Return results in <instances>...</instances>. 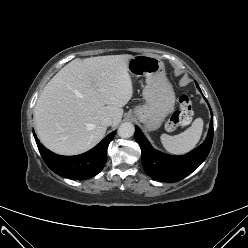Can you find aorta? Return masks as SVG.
<instances>
[{
	"label": "aorta",
	"mask_w": 248,
	"mask_h": 248,
	"mask_svg": "<svg viewBox=\"0 0 248 248\" xmlns=\"http://www.w3.org/2000/svg\"><path fill=\"white\" fill-rule=\"evenodd\" d=\"M135 127L132 123L126 122L122 123L118 128V135L121 138H129L133 136Z\"/></svg>",
	"instance_id": "obj_1"
}]
</instances>
